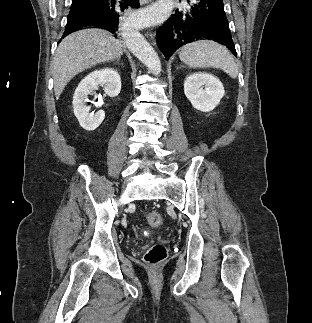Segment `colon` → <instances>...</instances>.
Returning a JSON list of instances; mask_svg holds the SVG:
<instances>
[{
	"label": "colon",
	"instance_id": "5ec220e1",
	"mask_svg": "<svg viewBox=\"0 0 312 323\" xmlns=\"http://www.w3.org/2000/svg\"><path fill=\"white\" fill-rule=\"evenodd\" d=\"M146 220L151 226L157 227L162 224V215L158 211H148L146 213ZM167 256L165 246L161 244H155L149 248L145 255L144 261L151 265L153 269L158 267V264L163 262Z\"/></svg>",
	"mask_w": 312,
	"mask_h": 323
}]
</instances>
